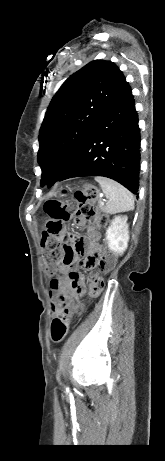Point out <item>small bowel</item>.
Here are the masks:
<instances>
[{
    "instance_id": "obj_1",
    "label": "small bowel",
    "mask_w": 165,
    "mask_h": 461,
    "mask_svg": "<svg viewBox=\"0 0 165 461\" xmlns=\"http://www.w3.org/2000/svg\"><path fill=\"white\" fill-rule=\"evenodd\" d=\"M76 223V230H67L65 235L68 249L76 251H61L60 264L56 269L63 277L54 278L50 283L51 293H54L53 315L65 312L70 317L72 298L82 296L86 289L84 277L76 269L78 254L86 257L81 265L89 268L86 264L87 258L97 254L99 250V231L92 225H84V220L80 218Z\"/></svg>"
}]
</instances>
